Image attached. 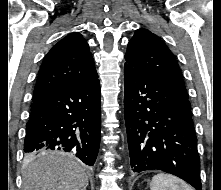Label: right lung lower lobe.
I'll return each mask as SVG.
<instances>
[{
  "instance_id": "1",
  "label": "right lung lower lobe",
  "mask_w": 221,
  "mask_h": 190,
  "mask_svg": "<svg viewBox=\"0 0 221 190\" xmlns=\"http://www.w3.org/2000/svg\"><path fill=\"white\" fill-rule=\"evenodd\" d=\"M101 100L98 75L33 100L24 151L70 152L94 165L100 145Z\"/></svg>"
}]
</instances>
